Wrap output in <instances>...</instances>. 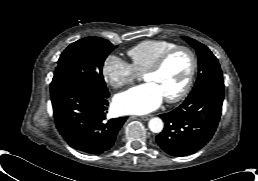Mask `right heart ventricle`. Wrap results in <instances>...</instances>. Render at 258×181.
I'll return each instance as SVG.
<instances>
[{
	"label": "right heart ventricle",
	"instance_id": "e07e8e85",
	"mask_svg": "<svg viewBox=\"0 0 258 181\" xmlns=\"http://www.w3.org/2000/svg\"><path fill=\"white\" fill-rule=\"evenodd\" d=\"M176 46L166 40H145L130 48L127 55L135 71L143 74L162 53Z\"/></svg>",
	"mask_w": 258,
	"mask_h": 181
}]
</instances>
